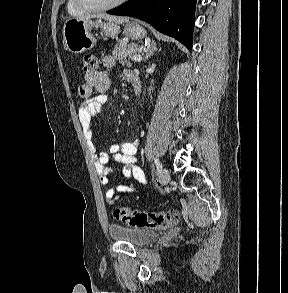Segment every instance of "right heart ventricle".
I'll return each instance as SVG.
<instances>
[{"instance_id":"obj_1","label":"right heart ventricle","mask_w":288,"mask_h":293,"mask_svg":"<svg viewBox=\"0 0 288 293\" xmlns=\"http://www.w3.org/2000/svg\"><path fill=\"white\" fill-rule=\"evenodd\" d=\"M67 11L70 15L73 16H81L85 14V11L76 6L74 0H67Z\"/></svg>"}]
</instances>
